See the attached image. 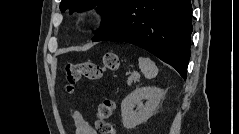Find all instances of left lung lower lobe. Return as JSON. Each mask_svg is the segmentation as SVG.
Masks as SVG:
<instances>
[{
	"instance_id": "0a47b994",
	"label": "left lung lower lobe",
	"mask_w": 239,
	"mask_h": 134,
	"mask_svg": "<svg viewBox=\"0 0 239 134\" xmlns=\"http://www.w3.org/2000/svg\"><path fill=\"white\" fill-rule=\"evenodd\" d=\"M190 0H128L92 41L127 42L154 54L186 79L193 30Z\"/></svg>"
}]
</instances>
